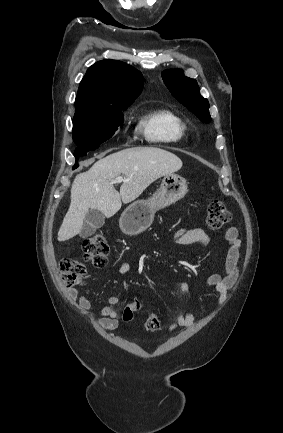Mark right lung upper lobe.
<instances>
[{
    "label": "right lung upper lobe",
    "mask_w": 283,
    "mask_h": 433,
    "mask_svg": "<svg viewBox=\"0 0 283 433\" xmlns=\"http://www.w3.org/2000/svg\"><path fill=\"white\" fill-rule=\"evenodd\" d=\"M142 74L117 60L92 65L82 79L75 100L76 110L129 106L141 93Z\"/></svg>",
    "instance_id": "1"
}]
</instances>
